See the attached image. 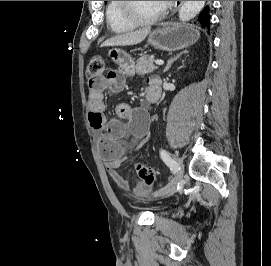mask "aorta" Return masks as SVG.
<instances>
[{"label": "aorta", "mask_w": 271, "mask_h": 266, "mask_svg": "<svg viewBox=\"0 0 271 266\" xmlns=\"http://www.w3.org/2000/svg\"><path fill=\"white\" fill-rule=\"evenodd\" d=\"M205 1H185L181 6L178 16L181 21L194 18L204 7Z\"/></svg>", "instance_id": "1"}]
</instances>
